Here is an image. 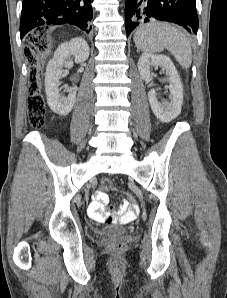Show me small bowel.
<instances>
[{"instance_id": "small-bowel-1", "label": "small bowel", "mask_w": 227, "mask_h": 298, "mask_svg": "<svg viewBox=\"0 0 227 298\" xmlns=\"http://www.w3.org/2000/svg\"><path fill=\"white\" fill-rule=\"evenodd\" d=\"M108 201L107 190L97 191L88 208L89 216L97 221H103L109 218V212L106 209ZM120 211L123 213L122 219L124 221H129L137 213L138 207L126 206L123 204Z\"/></svg>"}]
</instances>
